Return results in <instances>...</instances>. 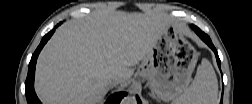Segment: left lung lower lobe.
<instances>
[{"mask_svg":"<svg viewBox=\"0 0 252 104\" xmlns=\"http://www.w3.org/2000/svg\"><path fill=\"white\" fill-rule=\"evenodd\" d=\"M191 28L197 33V35L214 51V53H215V56H216V58H217V64H218V66H219V68H220V59H219V56H218V53H217V51H216V49H215V47H214V45L212 44V41H211V39H210V37L207 35V34H205L204 32H202L198 27H196V26H194V25H191ZM222 98H223V96H222ZM222 98H221V103H222ZM137 103L138 104H141V101H140V99H139V97L137 96Z\"/></svg>","mask_w":252,"mask_h":104,"instance_id":"0a47b994","label":"left lung lower lobe"}]
</instances>
